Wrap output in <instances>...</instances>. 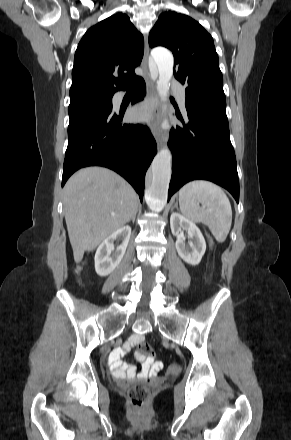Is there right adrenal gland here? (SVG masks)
<instances>
[{"instance_id":"2a0ac1e0","label":"right adrenal gland","mask_w":291,"mask_h":440,"mask_svg":"<svg viewBox=\"0 0 291 440\" xmlns=\"http://www.w3.org/2000/svg\"><path fill=\"white\" fill-rule=\"evenodd\" d=\"M135 218H136V215L132 218V222L133 223L135 222Z\"/></svg>"}]
</instances>
